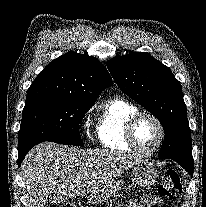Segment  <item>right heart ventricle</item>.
<instances>
[{
    "mask_svg": "<svg viewBox=\"0 0 206 207\" xmlns=\"http://www.w3.org/2000/svg\"><path fill=\"white\" fill-rule=\"evenodd\" d=\"M130 102L115 98L102 108L96 124V134L100 145L112 152H129L125 142L124 128L129 118L137 112Z\"/></svg>",
    "mask_w": 206,
    "mask_h": 207,
    "instance_id": "obj_1",
    "label": "right heart ventricle"
}]
</instances>
